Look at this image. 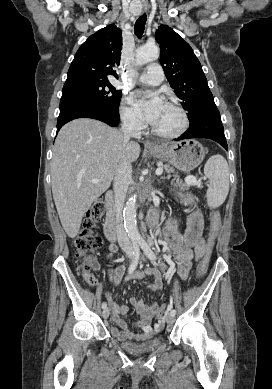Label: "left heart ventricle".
<instances>
[{
  "instance_id": "b2bd125f",
  "label": "left heart ventricle",
  "mask_w": 272,
  "mask_h": 389,
  "mask_svg": "<svg viewBox=\"0 0 272 389\" xmlns=\"http://www.w3.org/2000/svg\"><path fill=\"white\" fill-rule=\"evenodd\" d=\"M180 122L181 118L179 113L174 108L164 104L156 121L152 125L158 130L170 132L177 129Z\"/></svg>"
}]
</instances>
